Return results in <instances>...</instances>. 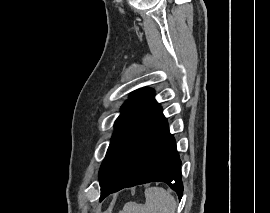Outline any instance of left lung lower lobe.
Listing matches in <instances>:
<instances>
[{
  "mask_svg": "<svg viewBox=\"0 0 270 213\" xmlns=\"http://www.w3.org/2000/svg\"><path fill=\"white\" fill-rule=\"evenodd\" d=\"M167 183L181 199V161L161 107L125 143L100 182L102 201L110 193L148 182Z\"/></svg>",
  "mask_w": 270,
  "mask_h": 213,
  "instance_id": "0a47b994",
  "label": "left lung lower lobe"
}]
</instances>
